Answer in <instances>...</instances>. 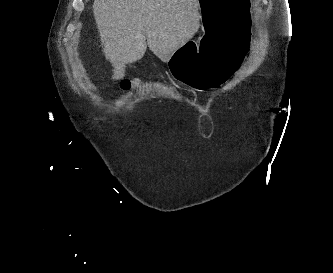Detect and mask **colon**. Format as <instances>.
<instances>
[{"instance_id":"colon-1","label":"colon","mask_w":333,"mask_h":273,"mask_svg":"<svg viewBox=\"0 0 333 273\" xmlns=\"http://www.w3.org/2000/svg\"><path fill=\"white\" fill-rule=\"evenodd\" d=\"M130 87V81H126V82H124V84H123V88L124 89H127V88H129Z\"/></svg>"}]
</instances>
